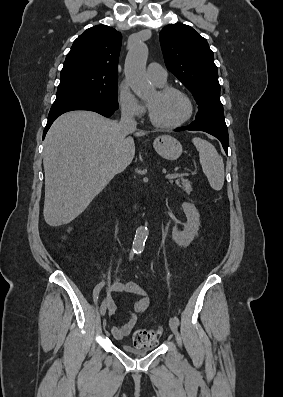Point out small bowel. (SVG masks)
I'll return each mask as SVG.
<instances>
[{"label":"small bowel","instance_id":"1","mask_svg":"<svg viewBox=\"0 0 283 397\" xmlns=\"http://www.w3.org/2000/svg\"><path fill=\"white\" fill-rule=\"evenodd\" d=\"M115 293H128L137 296L131 304V308L127 311L128 321L119 326L112 327V334L115 339L122 340L128 336L137 323L138 317L143 314L150 306V299L147 290L135 282H122L119 277H116L108 287L107 306L110 316L115 315L117 306L112 298Z\"/></svg>","mask_w":283,"mask_h":397}]
</instances>
